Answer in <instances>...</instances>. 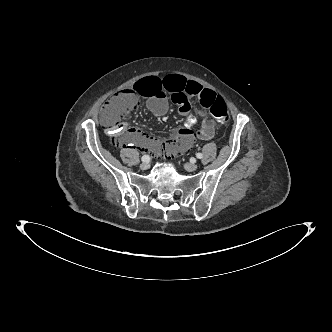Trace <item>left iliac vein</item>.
I'll list each match as a JSON object with an SVG mask.
<instances>
[{
    "instance_id": "left-iliac-vein-1",
    "label": "left iliac vein",
    "mask_w": 332,
    "mask_h": 332,
    "mask_svg": "<svg viewBox=\"0 0 332 332\" xmlns=\"http://www.w3.org/2000/svg\"><path fill=\"white\" fill-rule=\"evenodd\" d=\"M184 168L189 172H193L198 169V166L194 163H185Z\"/></svg>"
}]
</instances>
